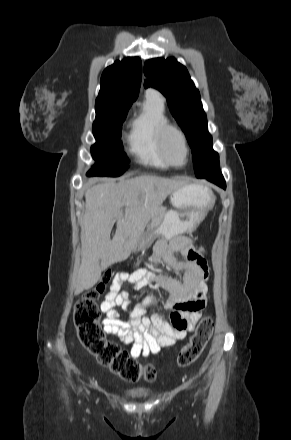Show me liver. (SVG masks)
<instances>
[{"mask_svg": "<svg viewBox=\"0 0 291 440\" xmlns=\"http://www.w3.org/2000/svg\"><path fill=\"white\" fill-rule=\"evenodd\" d=\"M182 184L176 179L141 175L118 183L97 184L85 192V213L81 220L82 260L76 293L92 288L102 271L128 258L160 205ZM115 222L117 229L111 240Z\"/></svg>", "mask_w": 291, "mask_h": 440, "instance_id": "6515ba94", "label": "liver"}]
</instances>
